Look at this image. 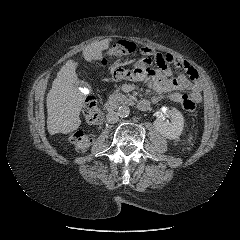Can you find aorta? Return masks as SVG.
Here are the masks:
<instances>
[{
	"label": "aorta",
	"mask_w": 240,
	"mask_h": 240,
	"mask_svg": "<svg viewBox=\"0 0 240 240\" xmlns=\"http://www.w3.org/2000/svg\"><path fill=\"white\" fill-rule=\"evenodd\" d=\"M118 116L121 118L128 117L130 114V108L126 105L120 106L117 111Z\"/></svg>",
	"instance_id": "obj_1"
}]
</instances>
